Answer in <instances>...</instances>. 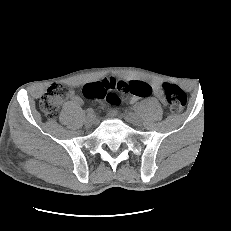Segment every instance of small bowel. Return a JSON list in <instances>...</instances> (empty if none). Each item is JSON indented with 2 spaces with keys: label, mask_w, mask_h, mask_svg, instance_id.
I'll return each instance as SVG.
<instances>
[{
  "label": "small bowel",
  "mask_w": 231,
  "mask_h": 231,
  "mask_svg": "<svg viewBox=\"0 0 231 231\" xmlns=\"http://www.w3.org/2000/svg\"><path fill=\"white\" fill-rule=\"evenodd\" d=\"M150 88H151L153 94H154L160 101H162V102L165 101V99H164V92H163L161 86H160L158 83H156V82L153 81V82L151 83V85H150ZM138 98H139L138 96L133 95L132 98H131V102H136V101L138 100ZM71 101H72L73 103H75V104H80V103L82 102L81 99H80L77 95H75V94H73V95L71 96ZM115 113H116V111H115L114 109L110 110V114H111V115H113V114H115Z\"/></svg>",
  "instance_id": "1"
}]
</instances>
